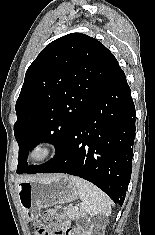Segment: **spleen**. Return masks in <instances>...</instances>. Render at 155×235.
<instances>
[{"mask_svg":"<svg viewBox=\"0 0 155 235\" xmlns=\"http://www.w3.org/2000/svg\"><path fill=\"white\" fill-rule=\"evenodd\" d=\"M71 182L75 185L81 203V210L89 216H110L111 203L108 196L95 185L75 176H70Z\"/></svg>","mask_w":155,"mask_h":235,"instance_id":"1","label":"spleen"}]
</instances>
